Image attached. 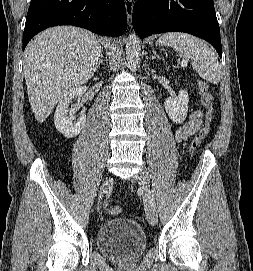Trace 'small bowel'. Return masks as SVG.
Segmentation results:
<instances>
[{
  "label": "small bowel",
  "mask_w": 253,
  "mask_h": 271,
  "mask_svg": "<svg viewBox=\"0 0 253 271\" xmlns=\"http://www.w3.org/2000/svg\"><path fill=\"white\" fill-rule=\"evenodd\" d=\"M202 113L199 110L191 112L188 120L181 124L174 132L175 140L185 145L189 138L202 127Z\"/></svg>",
  "instance_id": "c3829d8e"
}]
</instances>
